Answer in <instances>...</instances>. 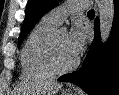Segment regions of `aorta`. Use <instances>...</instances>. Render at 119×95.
I'll return each instance as SVG.
<instances>
[{
	"label": "aorta",
	"instance_id": "1",
	"mask_svg": "<svg viewBox=\"0 0 119 95\" xmlns=\"http://www.w3.org/2000/svg\"><path fill=\"white\" fill-rule=\"evenodd\" d=\"M99 9L100 20V38L102 44H105L110 36L114 19L113 0H96Z\"/></svg>",
	"mask_w": 119,
	"mask_h": 95
}]
</instances>
